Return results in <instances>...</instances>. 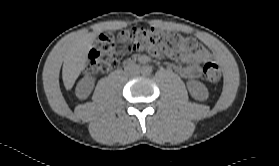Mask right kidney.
Returning a JSON list of instances; mask_svg holds the SVG:
<instances>
[{"label":"right kidney","mask_w":279,"mask_h":166,"mask_svg":"<svg viewBox=\"0 0 279 166\" xmlns=\"http://www.w3.org/2000/svg\"><path fill=\"white\" fill-rule=\"evenodd\" d=\"M93 89V80L90 77H85L77 85L76 93L81 99L86 98Z\"/></svg>","instance_id":"obj_1"}]
</instances>
